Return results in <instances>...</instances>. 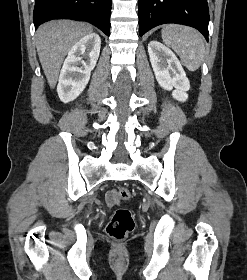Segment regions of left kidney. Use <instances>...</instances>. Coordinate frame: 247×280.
I'll use <instances>...</instances> for the list:
<instances>
[{
  "mask_svg": "<svg viewBox=\"0 0 247 280\" xmlns=\"http://www.w3.org/2000/svg\"><path fill=\"white\" fill-rule=\"evenodd\" d=\"M148 53L159 85L168 91L174 88L173 98L185 102L188 99L186 92L190 88V83L176 55L158 41H151L148 44Z\"/></svg>",
  "mask_w": 247,
  "mask_h": 280,
  "instance_id": "left-kidney-1",
  "label": "left kidney"
}]
</instances>
